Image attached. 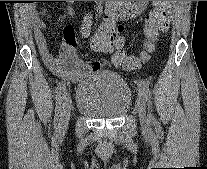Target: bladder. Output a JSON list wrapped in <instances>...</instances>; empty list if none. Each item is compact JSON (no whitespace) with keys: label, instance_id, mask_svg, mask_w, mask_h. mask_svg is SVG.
Returning <instances> with one entry per match:
<instances>
[{"label":"bladder","instance_id":"1","mask_svg":"<svg viewBox=\"0 0 207 169\" xmlns=\"http://www.w3.org/2000/svg\"><path fill=\"white\" fill-rule=\"evenodd\" d=\"M132 99V90L121 77L102 71L78 84L75 107L91 117L114 119L130 109Z\"/></svg>","mask_w":207,"mask_h":169}]
</instances>
